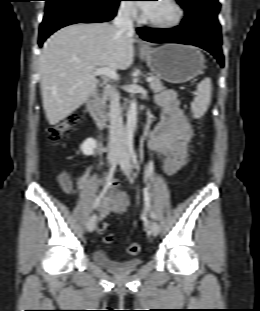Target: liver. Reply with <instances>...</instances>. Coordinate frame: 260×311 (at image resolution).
<instances>
[{
	"instance_id": "1",
	"label": "liver",
	"mask_w": 260,
	"mask_h": 311,
	"mask_svg": "<svg viewBox=\"0 0 260 311\" xmlns=\"http://www.w3.org/2000/svg\"><path fill=\"white\" fill-rule=\"evenodd\" d=\"M135 41L133 34L109 23H77L54 33L39 57L43 108L49 124L59 123L87 101L98 84L96 69L130 67Z\"/></svg>"
}]
</instances>
